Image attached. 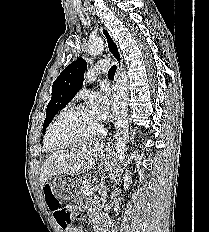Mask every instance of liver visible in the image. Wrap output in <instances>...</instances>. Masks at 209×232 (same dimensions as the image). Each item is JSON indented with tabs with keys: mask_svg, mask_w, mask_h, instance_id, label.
I'll use <instances>...</instances> for the list:
<instances>
[{
	"mask_svg": "<svg viewBox=\"0 0 209 232\" xmlns=\"http://www.w3.org/2000/svg\"><path fill=\"white\" fill-rule=\"evenodd\" d=\"M99 142L79 143L46 158L40 172V186L58 174L77 175L92 169L99 157Z\"/></svg>",
	"mask_w": 209,
	"mask_h": 232,
	"instance_id": "6515ba94",
	"label": "liver"
}]
</instances>
